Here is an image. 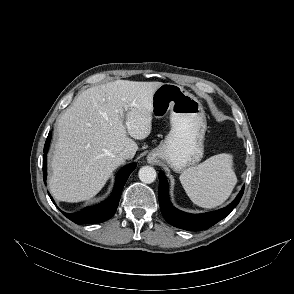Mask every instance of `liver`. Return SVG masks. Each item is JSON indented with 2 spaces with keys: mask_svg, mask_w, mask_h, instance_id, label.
<instances>
[{
  "mask_svg": "<svg viewBox=\"0 0 294 294\" xmlns=\"http://www.w3.org/2000/svg\"><path fill=\"white\" fill-rule=\"evenodd\" d=\"M161 82L116 80L82 92L57 120L49 189L59 201L95 196L112 172L135 155L152 130V95ZM127 132L132 137L127 136Z\"/></svg>",
  "mask_w": 294,
  "mask_h": 294,
  "instance_id": "1",
  "label": "liver"
}]
</instances>
